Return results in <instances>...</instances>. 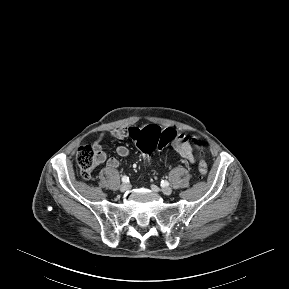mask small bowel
Returning <instances> with one entry per match:
<instances>
[{"label": "small bowel", "instance_id": "c3829d8e", "mask_svg": "<svg viewBox=\"0 0 289 289\" xmlns=\"http://www.w3.org/2000/svg\"><path fill=\"white\" fill-rule=\"evenodd\" d=\"M112 137L117 140H124L127 139L130 135V129H115L111 132ZM104 138V134H101L94 142V148L100 155V163L106 160V153L102 149V141ZM175 150L180 154V156L185 159L187 162L194 164L196 159L194 155L193 148L189 142V139L184 136L180 135L174 142ZM116 153L120 157H128L130 154V150L128 147L124 145H119L116 148ZM107 166L111 168H116L119 166V161L116 158H108L106 160Z\"/></svg>", "mask_w": 289, "mask_h": 289}]
</instances>
